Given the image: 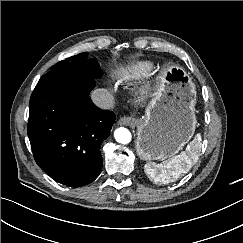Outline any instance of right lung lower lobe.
Listing matches in <instances>:
<instances>
[{"instance_id":"1","label":"right lung lower lobe","mask_w":243,"mask_h":243,"mask_svg":"<svg viewBox=\"0 0 243 243\" xmlns=\"http://www.w3.org/2000/svg\"><path fill=\"white\" fill-rule=\"evenodd\" d=\"M94 79L39 80L30 99L27 133L34 159L55 181L79 187L102 169L100 146L115 114L89 97Z\"/></svg>"}]
</instances>
